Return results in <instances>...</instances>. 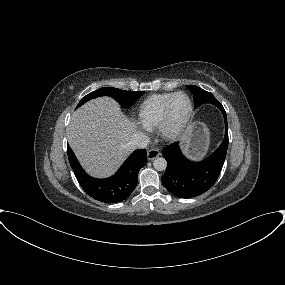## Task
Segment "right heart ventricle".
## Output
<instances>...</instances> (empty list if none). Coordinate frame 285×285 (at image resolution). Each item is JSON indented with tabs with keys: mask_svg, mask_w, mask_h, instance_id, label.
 <instances>
[{
	"mask_svg": "<svg viewBox=\"0 0 285 285\" xmlns=\"http://www.w3.org/2000/svg\"><path fill=\"white\" fill-rule=\"evenodd\" d=\"M173 94V92L155 94L144 99L137 110L139 123L147 129L159 127L164 107Z\"/></svg>",
	"mask_w": 285,
	"mask_h": 285,
	"instance_id": "e07e8e85",
	"label": "right heart ventricle"
}]
</instances>
